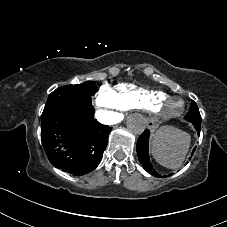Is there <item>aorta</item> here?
Masks as SVG:
<instances>
[{"mask_svg": "<svg viewBox=\"0 0 227 227\" xmlns=\"http://www.w3.org/2000/svg\"><path fill=\"white\" fill-rule=\"evenodd\" d=\"M127 127L133 134L140 135L146 128V121L141 115L134 114L128 118Z\"/></svg>", "mask_w": 227, "mask_h": 227, "instance_id": "aorta-1", "label": "aorta"}]
</instances>
